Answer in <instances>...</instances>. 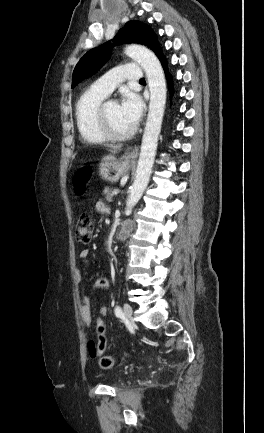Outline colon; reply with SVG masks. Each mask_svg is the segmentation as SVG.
Masks as SVG:
<instances>
[{"label":"colon","mask_w":264,"mask_h":433,"mask_svg":"<svg viewBox=\"0 0 264 433\" xmlns=\"http://www.w3.org/2000/svg\"><path fill=\"white\" fill-rule=\"evenodd\" d=\"M89 180V170L83 169L76 173L74 177L75 191L77 194L82 195L85 190V185ZM93 232V221L89 214L83 213L77 222L76 226V239L78 242L86 244L91 240ZM96 335L98 343V363L103 369H111L115 365V360L112 356L105 354L107 337L106 326L102 315L96 320Z\"/></svg>","instance_id":"5ec220e1"}]
</instances>
